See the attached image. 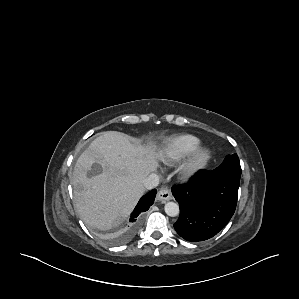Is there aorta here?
Masks as SVG:
<instances>
[{"instance_id":"1","label":"aorta","mask_w":299,"mask_h":299,"mask_svg":"<svg viewBox=\"0 0 299 299\" xmlns=\"http://www.w3.org/2000/svg\"><path fill=\"white\" fill-rule=\"evenodd\" d=\"M165 213L170 217H176L179 215V205L175 202H167L164 206Z\"/></svg>"}]
</instances>
